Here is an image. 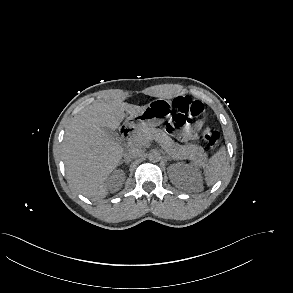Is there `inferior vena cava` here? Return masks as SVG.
Here are the masks:
<instances>
[{
    "instance_id": "inferior-vena-cava-1",
    "label": "inferior vena cava",
    "mask_w": 293,
    "mask_h": 293,
    "mask_svg": "<svg viewBox=\"0 0 293 293\" xmlns=\"http://www.w3.org/2000/svg\"><path fill=\"white\" fill-rule=\"evenodd\" d=\"M141 154H142V150L140 148L132 147L123 153V157L125 160L131 161L135 158L140 157Z\"/></svg>"
}]
</instances>
